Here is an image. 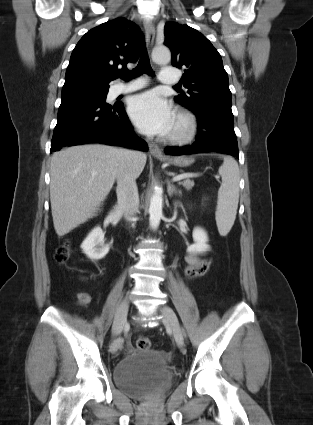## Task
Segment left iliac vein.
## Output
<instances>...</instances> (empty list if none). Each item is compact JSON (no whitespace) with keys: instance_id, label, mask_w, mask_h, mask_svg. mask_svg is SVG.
Instances as JSON below:
<instances>
[{"instance_id":"1","label":"left iliac vein","mask_w":313,"mask_h":425,"mask_svg":"<svg viewBox=\"0 0 313 425\" xmlns=\"http://www.w3.org/2000/svg\"><path fill=\"white\" fill-rule=\"evenodd\" d=\"M164 322L172 329L177 345L182 348L184 346V337L175 312L168 306L160 308Z\"/></svg>"}]
</instances>
